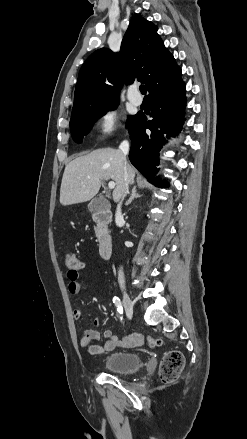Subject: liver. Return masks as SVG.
Masks as SVG:
<instances>
[{"instance_id": "obj_1", "label": "liver", "mask_w": 247, "mask_h": 439, "mask_svg": "<svg viewBox=\"0 0 247 439\" xmlns=\"http://www.w3.org/2000/svg\"><path fill=\"white\" fill-rule=\"evenodd\" d=\"M124 167L128 182L133 184L135 169L121 150L102 148L75 158L65 167L60 203L67 206L89 201L99 192L102 181L109 179L116 185L112 197L114 202H118L125 192Z\"/></svg>"}]
</instances>
